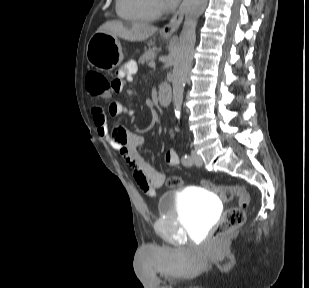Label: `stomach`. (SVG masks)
I'll use <instances>...</instances> for the list:
<instances>
[{
	"instance_id": "obj_1",
	"label": "stomach",
	"mask_w": 309,
	"mask_h": 288,
	"mask_svg": "<svg viewBox=\"0 0 309 288\" xmlns=\"http://www.w3.org/2000/svg\"><path fill=\"white\" fill-rule=\"evenodd\" d=\"M86 57L93 67L101 71L113 70L124 59L118 38L105 32H96L92 35L87 44Z\"/></svg>"
}]
</instances>
